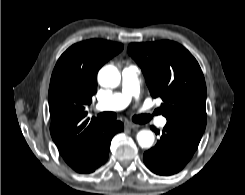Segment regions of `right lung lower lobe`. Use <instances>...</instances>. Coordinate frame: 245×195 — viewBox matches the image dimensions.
<instances>
[{
	"label": "right lung lower lobe",
	"instance_id": "98d812e1",
	"mask_svg": "<svg viewBox=\"0 0 245 195\" xmlns=\"http://www.w3.org/2000/svg\"><path fill=\"white\" fill-rule=\"evenodd\" d=\"M124 129L120 121L102 122L98 125L92 143V153L85 164L73 168L79 173H91L104 164L109 155L110 142L114 134Z\"/></svg>",
	"mask_w": 245,
	"mask_h": 195
}]
</instances>
